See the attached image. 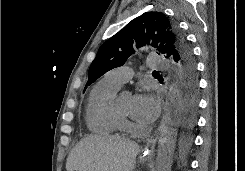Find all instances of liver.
Listing matches in <instances>:
<instances>
[{
  "mask_svg": "<svg viewBox=\"0 0 245 171\" xmlns=\"http://www.w3.org/2000/svg\"><path fill=\"white\" fill-rule=\"evenodd\" d=\"M138 144L119 136L91 135L82 139L67 158V171H133Z\"/></svg>",
  "mask_w": 245,
  "mask_h": 171,
  "instance_id": "obj_1",
  "label": "liver"
}]
</instances>
